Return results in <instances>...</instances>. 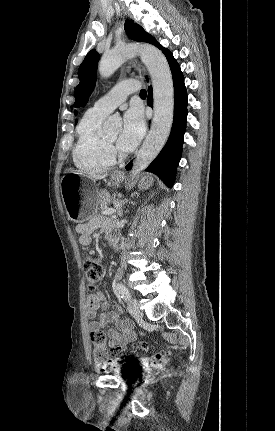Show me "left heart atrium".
Segmentation results:
<instances>
[{
  "instance_id": "1",
  "label": "left heart atrium",
  "mask_w": 275,
  "mask_h": 431,
  "mask_svg": "<svg viewBox=\"0 0 275 431\" xmlns=\"http://www.w3.org/2000/svg\"><path fill=\"white\" fill-rule=\"evenodd\" d=\"M145 133V121L139 108H130L124 115L123 129L117 141V146L126 152L136 148Z\"/></svg>"
}]
</instances>
